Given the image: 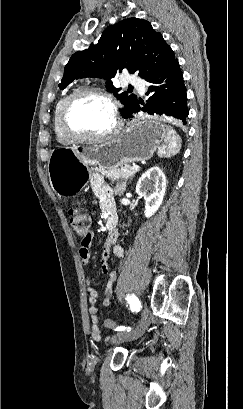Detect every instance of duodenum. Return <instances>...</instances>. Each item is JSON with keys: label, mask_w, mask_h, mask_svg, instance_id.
<instances>
[{"label": "duodenum", "mask_w": 243, "mask_h": 409, "mask_svg": "<svg viewBox=\"0 0 243 409\" xmlns=\"http://www.w3.org/2000/svg\"><path fill=\"white\" fill-rule=\"evenodd\" d=\"M107 231L108 233H112L116 230V223H117V217H116V213L114 212H108L107 214Z\"/></svg>", "instance_id": "duodenum-1"}]
</instances>
